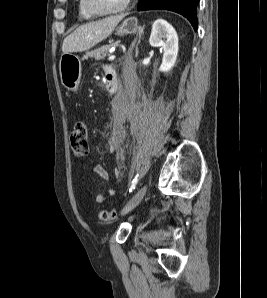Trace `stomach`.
<instances>
[{
	"label": "stomach",
	"mask_w": 267,
	"mask_h": 298,
	"mask_svg": "<svg viewBox=\"0 0 267 298\" xmlns=\"http://www.w3.org/2000/svg\"><path fill=\"white\" fill-rule=\"evenodd\" d=\"M140 30L136 17H129L117 27L116 34L124 36L135 34ZM60 77L62 84L71 91H77L81 77V63L78 57L72 54H63L60 59Z\"/></svg>",
	"instance_id": "obj_1"
}]
</instances>
